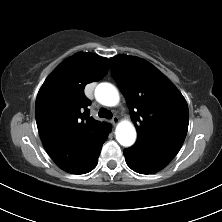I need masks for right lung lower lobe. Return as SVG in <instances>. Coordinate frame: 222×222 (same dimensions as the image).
<instances>
[{
	"mask_svg": "<svg viewBox=\"0 0 222 222\" xmlns=\"http://www.w3.org/2000/svg\"><path fill=\"white\" fill-rule=\"evenodd\" d=\"M109 132H107L103 138L93 147L92 154H90L86 160H80L78 163L73 161L72 163L61 167V169L73 174H84L93 170L98 163V157L101 152L102 145L108 138Z\"/></svg>",
	"mask_w": 222,
	"mask_h": 222,
	"instance_id": "98d812e1",
	"label": "right lung lower lobe"
}]
</instances>
